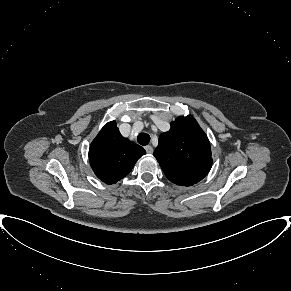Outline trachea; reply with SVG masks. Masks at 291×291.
I'll return each instance as SVG.
<instances>
[{"label":"trachea","mask_w":291,"mask_h":291,"mask_svg":"<svg viewBox=\"0 0 291 291\" xmlns=\"http://www.w3.org/2000/svg\"><path fill=\"white\" fill-rule=\"evenodd\" d=\"M137 141L141 145H147L150 142V136L147 133H140L137 137Z\"/></svg>","instance_id":"obj_1"}]
</instances>
